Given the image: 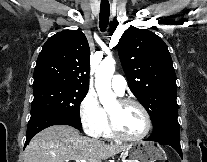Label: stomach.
<instances>
[{"instance_id":"stomach-1","label":"stomach","mask_w":207,"mask_h":162,"mask_svg":"<svg viewBox=\"0 0 207 162\" xmlns=\"http://www.w3.org/2000/svg\"><path fill=\"white\" fill-rule=\"evenodd\" d=\"M123 162H155L166 160L165 151L152 142H139L130 144L121 153Z\"/></svg>"}]
</instances>
